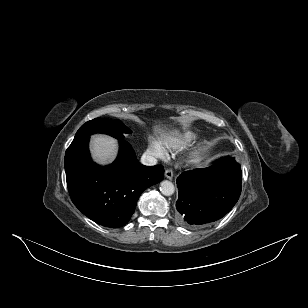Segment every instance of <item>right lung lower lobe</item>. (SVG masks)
<instances>
[{
    "label": "right lung lower lobe",
    "instance_id": "98d812e1",
    "mask_svg": "<svg viewBox=\"0 0 308 308\" xmlns=\"http://www.w3.org/2000/svg\"><path fill=\"white\" fill-rule=\"evenodd\" d=\"M88 141L89 136L74 139L65 153L70 197L96 223L122 227L134 213L141 193L163 179L164 169L160 165H142L130 144L122 139L117 159L101 167L92 161Z\"/></svg>",
    "mask_w": 308,
    "mask_h": 308
}]
</instances>
